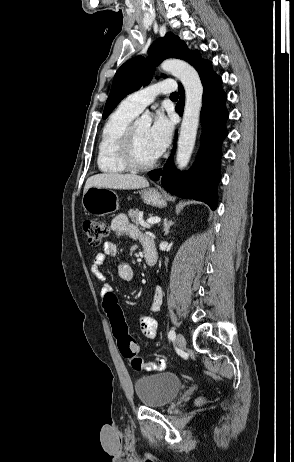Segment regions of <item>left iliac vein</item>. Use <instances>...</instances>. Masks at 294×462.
I'll list each match as a JSON object with an SVG mask.
<instances>
[{
    "label": "left iliac vein",
    "mask_w": 294,
    "mask_h": 462,
    "mask_svg": "<svg viewBox=\"0 0 294 462\" xmlns=\"http://www.w3.org/2000/svg\"><path fill=\"white\" fill-rule=\"evenodd\" d=\"M176 342H177L178 346H179L181 349H184V348H185V346H186V340H185L184 336H183L181 333H179V334L177 335V337H176Z\"/></svg>",
    "instance_id": "1"
}]
</instances>
